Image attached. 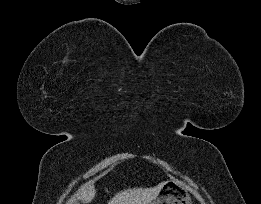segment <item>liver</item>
I'll return each instance as SVG.
<instances>
[{"label": "liver", "instance_id": "1", "mask_svg": "<svg viewBox=\"0 0 261 204\" xmlns=\"http://www.w3.org/2000/svg\"><path fill=\"white\" fill-rule=\"evenodd\" d=\"M163 183L150 188H133L117 193L108 204H150L159 195ZM96 190L93 183H88L82 186L76 197L68 204H73L76 200H81L89 203L95 197Z\"/></svg>", "mask_w": 261, "mask_h": 204}]
</instances>
